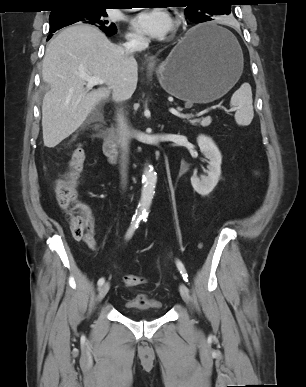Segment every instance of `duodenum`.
<instances>
[{
  "label": "duodenum",
  "mask_w": 306,
  "mask_h": 387,
  "mask_svg": "<svg viewBox=\"0 0 306 387\" xmlns=\"http://www.w3.org/2000/svg\"><path fill=\"white\" fill-rule=\"evenodd\" d=\"M103 151L111 163L117 162L118 148L116 142V131L114 128H111L106 132L103 143Z\"/></svg>",
  "instance_id": "duodenum-1"
}]
</instances>
